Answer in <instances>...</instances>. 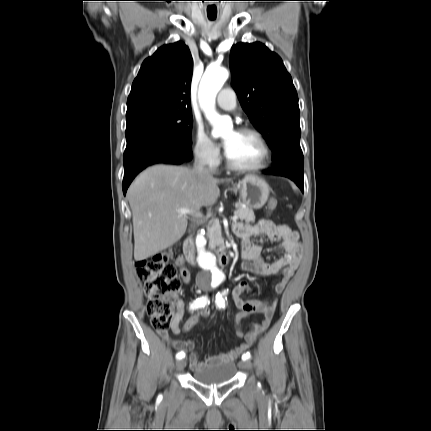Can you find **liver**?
<instances>
[{
    "label": "liver",
    "instance_id": "liver-1",
    "mask_svg": "<svg viewBox=\"0 0 431 431\" xmlns=\"http://www.w3.org/2000/svg\"><path fill=\"white\" fill-rule=\"evenodd\" d=\"M220 181L189 168L154 165L130 185L127 198L132 210L134 259L141 261L165 250L184 235L188 220L180 209L198 212L214 205Z\"/></svg>",
    "mask_w": 431,
    "mask_h": 431
}]
</instances>
